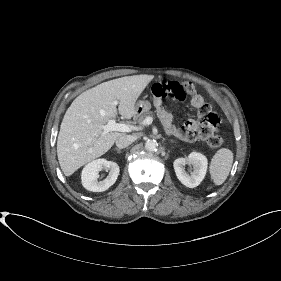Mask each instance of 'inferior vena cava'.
I'll use <instances>...</instances> for the list:
<instances>
[{
	"label": "inferior vena cava",
	"mask_w": 281,
	"mask_h": 281,
	"mask_svg": "<svg viewBox=\"0 0 281 281\" xmlns=\"http://www.w3.org/2000/svg\"><path fill=\"white\" fill-rule=\"evenodd\" d=\"M134 141V137L131 135H122L120 136L117 140H116V146L119 149H123L126 148L127 146H129L132 142Z\"/></svg>",
	"instance_id": "602c4592"
}]
</instances>
